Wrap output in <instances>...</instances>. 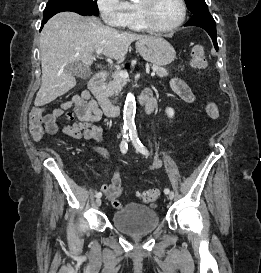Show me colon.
Returning <instances> with one entry per match:
<instances>
[{
  "label": "colon",
  "instance_id": "1",
  "mask_svg": "<svg viewBox=\"0 0 261 273\" xmlns=\"http://www.w3.org/2000/svg\"><path fill=\"white\" fill-rule=\"evenodd\" d=\"M190 57V65L193 69L201 71L206 67V54L203 46L199 44L193 45ZM205 108L210 119L217 120L220 117L219 106L215 101H208ZM44 118V112L41 108H35L30 112V131L35 139H41L44 135ZM138 196L143 202L151 203L159 198L160 192L158 189H148L138 192Z\"/></svg>",
  "mask_w": 261,
  "mask_h": 273
}]
</instances>
